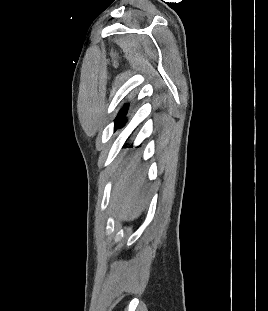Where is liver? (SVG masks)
<instances>
[{
	"instance_id": "liver-1",
	"label": "liver",
	"mask_w": 268,
	"mask_h": 311,
	"mask_svg": "<svg viewBox=\"0 0 268 311\" xmlns=\"http://www.w3.org/2000/svg\"><path fill=\"white\" fill-rule=\"evenodd\" d=\"M145 176L141 174L138 160L132 159L120 170L113 190L115 208L122 220L138 218L145 205Z\"/></svg>"
}]
</instances>
